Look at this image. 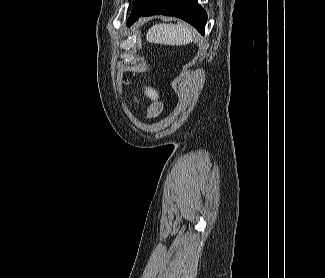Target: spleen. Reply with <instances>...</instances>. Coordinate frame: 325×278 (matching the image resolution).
<instances>
[{"instance_id":"1","label":"spleen","mask_w":325,"mask_h":278,"mask_svg":"<svg viewBox=\"0 0 325 278\" xmlns=\"http://www.w3.org/2000/svg\"><path fill=\"white\" fill-rule=\"evenodd\" d=\"M195 38L193 29L186 24H155L146 34L149 43L181 46L191 43Z\"/></svg>"}]
</instances>
